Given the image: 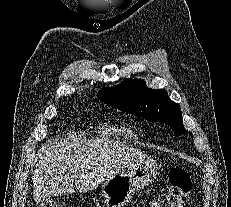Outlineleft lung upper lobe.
<instances>
[{
  "instance_id": "5c2ea615",
  "label": "left lung upper lobe",
  "mask_w": 231,
  "mask_h": 207,
  "mask_svg": "<svg viewBox=\"0 0 231 207\" xmlns=\"http://www.w3.org/2000/svg\"><path fill=\"white\" fill-rule=\"evenodd\" d=\"M97 96L113 108L151 122H163L176 132L187 133L180 106L169 99L167 91L150 89L141 79H125L116 87L102 89Z\"/></svg>"
}]
</instances>
